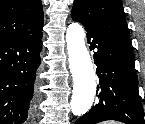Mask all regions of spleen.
<instances>
[{"label":"spleen","instance_id":"1","mask_svg":"<svg viewBox=\"0 0 145 124\" xmlns=\"http://www.w3.org/2000/svg\"><path fill=\"white\" fill-rule=\"evenodd\" d=\"M103 124H120V123H117L115 121H109V122H106V123H103Z\"/></svg>","mask_w":145,"mask_h":124}]
</instances>
